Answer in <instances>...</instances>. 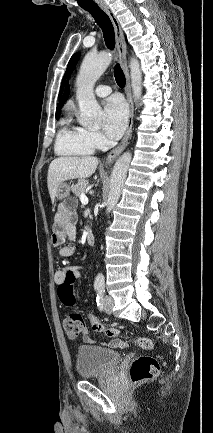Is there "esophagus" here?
Masks as SVG:
<instances>
[{
	"label": "esophagus",
	"mask_w": 213,
	"mask_h": 433,
	"mask_svg": "<svg viewBox=\"0 0 213 433\" xmlns=\"http://www.w3.org/2000/svg\"><path fill=\"white\" fill-rule=\"evenodd\" d=\"M101 9L109 16V18L112 22L113 28H114L119 62L122 66V69L124 71L125 78H126L125 93H126L127 101L129 104V116H128L126 134H125L124 138L122 139V141L119 143V145L117 147H115L106 157V164H111L123 152V150L126 148V146L128 144L129 139L131 138L134 108H133L132 95H131L130 75H129L127 58H126L127 48H126V44L124 41L121 26H120V23H119L116 15L107 5L102 4Z\"/></svg>",
	"instance_id": "obj_1"
}]
</instances>
